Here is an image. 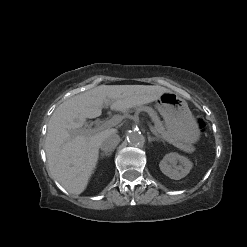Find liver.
I'll return each mask as SVG.
<instances>
[{"instance_id": "1", "label": "liver", "mask_w": 247, "mask_h": 247, "mask_svg": "<svg viewBox=\"0 0 247 247\" xmlns=\"http://www.w3.org/2000/svg\"><path fill=\"white\" fill-rule=\"evenodd\" d=\"M166 92L159 85H100L64 101L48 123L45 151L50 175L69 193L81 194L96 167L102 139L117 132H86L82 129L86 119L99 117L104 106L125 111L156 101Z\"/></svg>"}]
</instances>
